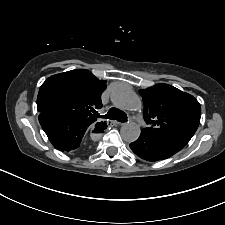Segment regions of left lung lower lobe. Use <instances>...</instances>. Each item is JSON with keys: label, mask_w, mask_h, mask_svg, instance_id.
<instances>
[{"label": "left lung lower lobe", "mask_w": 225, "mask_h": 225, "mask_svg": "<svg viewBox=\"0 0 225 225\" xmlns=\"http://www.w3.org/2000/svg\"><path fill=\"white\" fill-rule=\"evenodd\" d=\"M188 142L186 138L154 137L141 132L139 138L130 143V148L140 158L154 162L171 157Z\"/></svg>", "instance_id": "0a47b994"}]
</instances>
